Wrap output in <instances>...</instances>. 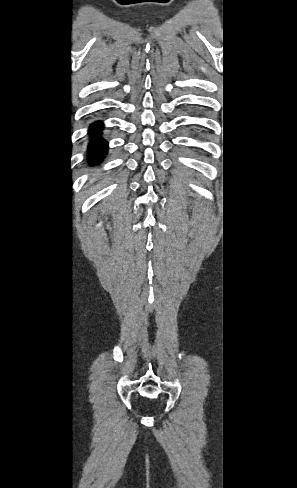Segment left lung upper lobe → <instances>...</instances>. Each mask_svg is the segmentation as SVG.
Wrapping results in <instances>:
<instances>
[{
	"label": "left lung upper lobe",
	"mask_w": 297,
	"mask_h": 488,
	"mask_svg": "<svg viewBox=\"0 0 297 488\" xmlns=\"http://www.w3.org/2000/svg\"><path fill=\"white\" fill-rule=\"evenodd\" d=\"M69 143H70V145H71V136H69Z\"/></svg>",
	"instance_id": "1"
}]
</instances>
